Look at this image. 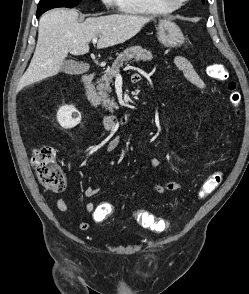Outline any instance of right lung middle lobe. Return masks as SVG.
Listing matches in <instances>:
<instances>
[{"instance_id": "obj_1", "label": "right lung middle lobe", "mask_w": 249, "mask_h": 294, "mask_svg": "<svg viewBox=\"0 0 249 294\" xmlns=\"http://www.w3.org/2000/svg\"><path fill=\"white\" fill-rule=\"evenodd\" d=\"M80 2L81 0H40L37 12L44 13L45 11L56 7L73 8Z\"/></svg>"}]
</instances>
